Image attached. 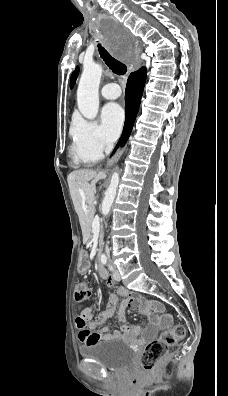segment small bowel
<instances>
[{
	"mask_svg": "<svg viewBox=\"0 0 228 396\" xmlns=\"http://www.w3.org/2000/svg\"><path fill=\"white\" fill-rule=\"evenodd\" d=\"M89 269V259L87 254L83 253L80 257V270L86 272ZM106 284L109 287L115 286V281L108 277ZM123 298L118 306V301ZM137 310L141 315L147 317L148 325L142 333V339L146 340L153 337L159 330L168 327L171 323V317L168 315H158L150 302L140 295L130 294L123 288H118L109 298L106 310L93 318L91 309L84 310L85 319L88 325L83 329H78L79 341L84 344H91L100 340L116 339L121 337L135 338L140 335V329L137 325L131 324L126 319V310ZM118 312V318L122 322L119 329L113 333L109 332L107 326H102L105 321L111 317L115 311Z\"/></svg>",
	"mask_w": 228,
	"mask_h": 396,
	"instance_id": "1",
	"label": "small bowel"
}]
</instances>
